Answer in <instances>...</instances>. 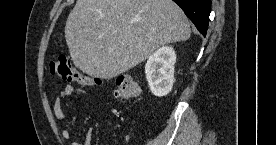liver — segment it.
<instances>
[{"mask_svg": "<svg viewBox=\"0 0 276 145\" xmlns=\"http://www.w3.org/2000/svg\"><path fill=\"white\" fill-rule=\"evenodd\" d=\"M188 18L172 0H77L65 24L76 67L112 78L135 67L160 46L186 41Z\"/></svg>", "mask_w": 276, "mask_h": 145, "instance_id": "liver-1", "label": "liver"}]
</instances>
